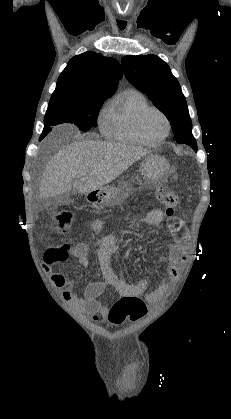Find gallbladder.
Here are the masks:
<instances>
[{"label":"gallbladder","instance_id":"bac80fb5","mask_svg":"<svg viewBox=\"0 0 231 419\" xmlns=\"http://www.w3.org/2000/svg\"><path fill=\"white\" fill-rule=\"evenodd\" d=\"M68 199H69L68 193H63L57 196V203H62V204L67 203Z\"/></svg>","mask_w":231,"mask_h":419}]
</instances>
